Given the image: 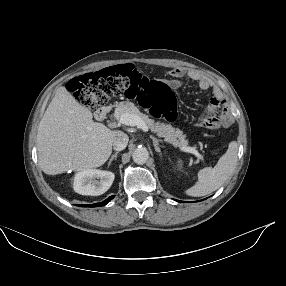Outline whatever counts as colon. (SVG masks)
Listing matches in <instances>:
<instances>
[{
    "mask_svg": "<svg viewBox=\"0 0 286 286\" xmlns=\"http://www.w3.org/2000/svg\"><path fill=\"white\" fill-rule=\"evenodd\" d=\"M70 90L78 101L94 109L112 97L124 95L137 98L158 118L173 122L177 118L176 101L170 86L162 81L147 78L134 66L125 64L87 73L71 80ZM227 123L216 111L198 115L194 124L198 128H217Z\"/></svg>",
    "mask_w": 286,
    "mask_h": 286,
    "instance_id": "colon-1",
    "label": "colon"
}]
</instances>
